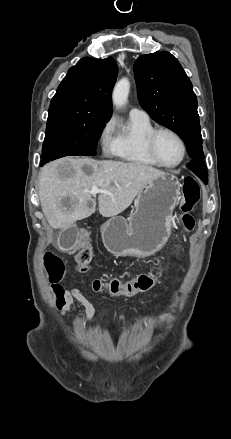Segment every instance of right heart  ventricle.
<instances>
[{
  "instance_id": "right-heart-ventricle-1",
  "label": "right heart ventricle",
  "mask_w": 231,
  "mask_h": 439,
  "mask_svg": "<svg viewBox=\"0 0 231 439\" xmlns=\"http://www.w3.org/2000/svg\"><path fill=\"white\" fill-rule=\"evenodd\" d=\"M154 129L149 118L129 116L128 120L118 126L113 155L125 162L141 167H155L157 164L149 157L146 136Z\"/></svg>"
}]
</instances>
